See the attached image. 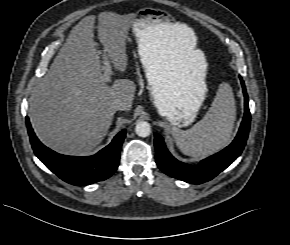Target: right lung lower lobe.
I'll use <instances>...</instances> for the list:
<instances>
[{"label": "right lung lower lobe", "mask_w": 290, "mask_h": 245, "mask_svg": "<svg viewBox=\"0 0 290 245\" xmlns=\"http://www.w3.org/2000/svg\"><path fill=\"white\" fill-rule=\"evenodd\" d=\"M26 125L35 155L67 183L84 186L102 181L109 178L118 167L126 130L118 133L112 142L97 154L76 157L58 154L44 146L36 137L28 117H26Z\"/></svg>", "instance_id": "right-lung-lower-lobe-1"}]
</instances>
